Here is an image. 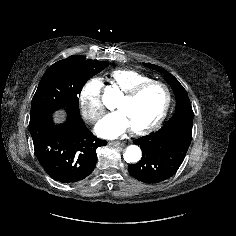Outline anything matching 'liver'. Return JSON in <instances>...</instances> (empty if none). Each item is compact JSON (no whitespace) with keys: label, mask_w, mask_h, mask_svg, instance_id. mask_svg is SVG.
I'll return each instance as SVG.
<instances>
[{"label":"liver","mask_w":236,"mask_h":236,"mask_svg":"<svg viewBox=\"0 0 236 236\" xmlns=\"http://www.w3.org/2000/svg\"><path fill=\"white\" fill-rule=\"evenodd\" d=\"M57 116H61V114H56Z\"/></svg>","instance_id":"obj_1"}]
</instances>
